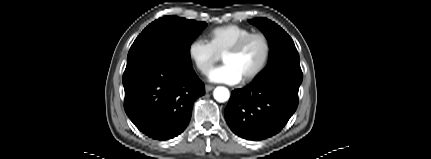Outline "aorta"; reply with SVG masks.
<instances>
[{
  "mask_svg": "<svg viewBox=\"0 0 431 159\" xmlns=\"http://www.w3.org/2000/svg\"><path fill=\"white\" fill-rule=\"evenodd\" d=\"M213 96L218 102H225L229 99L230 93L225 87H217L213 92Z\"/></svg>",
  "mask_w": 431,
  "mask_h": 159,
  "instance_id": "obj_1",
  "label": "aorta"
}]
</instances>
